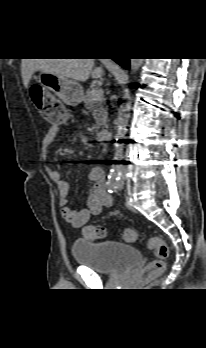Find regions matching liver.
Returning <instances> with one entry per match:
<instances>
[{
  "label": "liver",
  "mask_w": 206,
  "mask_h": 348,
  "mask_svg": "<svg viewBox=\"0 0 206 348\" xmlns=\"http://www.w3.org/2000/svg\"><path fill=\"white\" fill-rule=\"evenodd\" d=\"M95 59H23L21 74L23 84L27 88L32 75L36 71H46L70 81L85 82L90 76L93 79L104 75L102 67L94 68Z\"/></svg>",
  "instance_id": "1"
}]
</instances>
